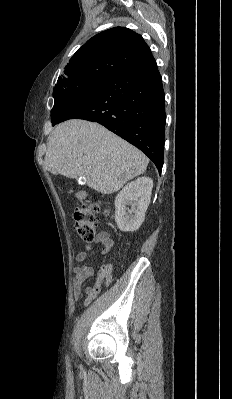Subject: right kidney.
<instances>
[{
	"instance_id": "right-kidney-1",
	"label": "right kidney",
	"mask_w": 232,
	"mask_h": 399,
	"mask_svg": "<svg viewBox=\"0 0 232 399\" xmlns=\"http://www.w3.org/2000/svg\"><path fill=\"white\" fill-rule=\"evenodd\" d=\"M153 180L142 176L127 184L115 198V221L121 231L139 229L145 219V211L150 203ZM131 205V209L126 211Z\"/></svg>"
}]
</instances>
